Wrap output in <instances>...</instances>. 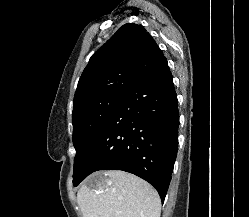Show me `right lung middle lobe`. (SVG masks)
Segmentation results:
<instances>
[{
	"label": "right lung middle lobe",
	"mask_w": 249,
	"mask_h": 217,
	"mask_svg": "<svg viewBox=\"0 0 249 217\" xmlns=\"http://www.w3.org/2000/svg\"><path fill=\"white\" fill-rule=\"evenodd\" d=\"M124 96V93H105L73 108V144L76 150L73 184H75L80 177L79 165L89 145Z\"/></svg>",
	"instance_id": "right-lung-middle-lobe-1"
}]
</instances>
